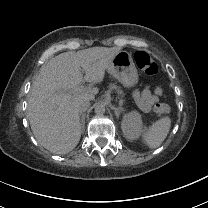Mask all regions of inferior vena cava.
<instances>
[{"label": "inferior vena cava", "mask_w": 208, "mask_h": 208, "mask_svg": "<svg viewBox=\"0 0 208 208\" xmlns=\"http://www.w3.org/2000/svg\"><path fill=\"white\" fill-rule=\"evenodd\" d=\"M90 107L89 99L85 97H79L77 100V108L79 112H84Z\"/></svg>", "instance_id": "602c4592"}]
</instances>
